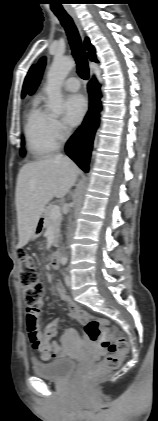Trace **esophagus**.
Instances as JSON below:
<instances>
[{"label":"esophagus","instance_id":"esophagus-1","mask_svg":"<svg viewBox=\"0 0 158 421\" xmlns=\"http://www.w3.org/2000/svg\"><path fill=\"white\" fill-rule=\"evenodd\" d=\"M69 15L71 16V18L73 19L75 25L77 26V29L80 33V36L82 37V39L84 38V34H83V30H82V26H81V22L79 20V18L77 17L76 13L74 11H70ZM90 74L92 76V70L90 71Z\"/></svg>","mask_w":158,"mask_h":421}]
</instances>
